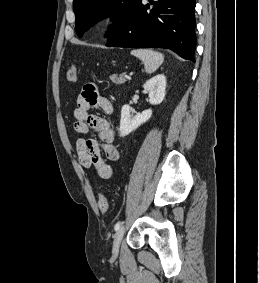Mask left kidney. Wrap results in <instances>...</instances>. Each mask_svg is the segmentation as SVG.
Returning a JSON list of instances; mask_svg holds the SVG:
<instances>
[{
	"mask_svg": "<svg viewBox=\"0 0 259 283\" xmlns=\"http://www.w3.org/2000/svg\"><path fill=\"white\" fill-rule=\"evenodd\" d=\"M143 88L149 94V102L152 105L160 104L165 97L166 89V77L163 74H159L149 79ZM152 116V110L147 109L141 114L136 115L131 114V109L128 105H124L121 109V120L119 135L121 137L127 136L134 130H136L140 125L147 122Z\"/></svg>",
	"mask_w": 259,
	"mask_h": 283,
	"instance_id": "5707ae66",
	"label": "left kidney"
}]
</instances>
